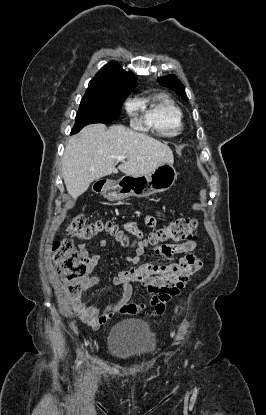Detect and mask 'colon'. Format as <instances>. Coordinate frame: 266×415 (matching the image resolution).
<instances>
[{"label":"colon","instance_id":"5ec220e1","mask_svg":"<svg viewBox=\"0 0 266 415\" xmlns=\"http://www.w3.org/2000/svg\"><path fill=\"white\" fill-rule=\"evenodd\" d=\"M67 234L79 239H90L100 232H107L121 242L128 244V237L111 221H88L84 216L73 217L67 225ZM197 234L195 219L179 218L168 225L156 228L148 237L152 245H164L169 242H185ZM56 271L75 295L81 289V281L86 277L88 266L83 256L68 238L59 239L53 244ZM179 311V309H178Z\"/></svg>","mask_w":266,"mask_h":415}]
</instances>
